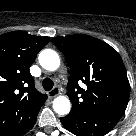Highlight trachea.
I'll use <instances>...</instances> for the list:
<instances>
[{"mask_svg": "<svg viewBox=\"0 0 136 136\" xmlns=\"http://www.w3.org/2000/svg\"><path fill=\"white\" fill-rule=\"evenodd\" d=\"M53 81L50 78H45L42 82V86L46 91H50L53 88Z\"/></svg>", "mask_w": 136, "mask_h": 136, "instance_id": "trachea-1", "label": "trachea"}]
</instances>
